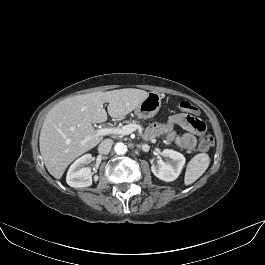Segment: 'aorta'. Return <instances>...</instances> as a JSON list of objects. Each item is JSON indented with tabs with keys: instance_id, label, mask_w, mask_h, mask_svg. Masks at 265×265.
<instances>
[{
	"instance_id": "obj_1",
	"label": "aorta",
	"mask_w": 265,
	"mask_h": 265,
	"mask_svg": "<svg viewBox=\"0 0 265 265\" xmlns=\"http://www.w3.org/2000/svg\"><path fill=\"white\" fill-rule=\"evenodd\" d=\"M114 151L118 155H124L127 152V146L123 143H117L114 147Z\"/></svg>"
}]
</instances>
